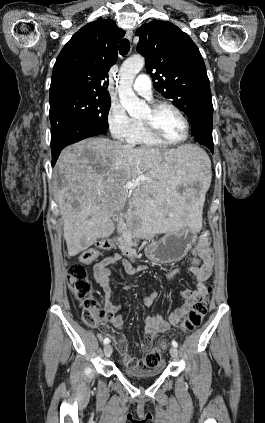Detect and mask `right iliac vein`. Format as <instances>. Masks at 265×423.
Wrapping results in <instances>:
<instances>
[{"instance_id":"1","label":"right iliac vein","mask_w":265,"mask_h":423,"mask_svg":"<svg viewBox=\"0 0 265 423\" xmlns=\"http://www.w3.org/2000/svg\"><path fill=\"white\" fill-rule=\"evenodd\" d=\"M112 351H113V348L110 344H107L104 347V354H105L106 357H110V355L112 354Z\"/></svg>"}]
</instances>
